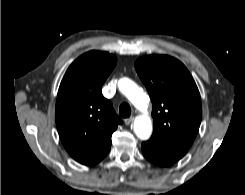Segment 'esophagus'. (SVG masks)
<instances>
[{
    "label": "esophagus",
    "instance_id": "1",
    "mask_svg": "<svg viewBox=\"0 0 245 195\" xmlns=\"http://www.w3.org/2000/svg\"><path fill=\"white\" fill-rule=\"evenodd\" d=\"M133 121H134V117H129V118L125 119V124L130 125Z\"/></svg>",
    "mask_w": 245,
    "mask_h": 195
}]
</instances>
